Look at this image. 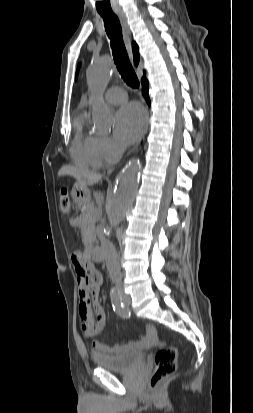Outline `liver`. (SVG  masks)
Instances as JSON below:
<instances>
[{
    "label": "liver",
    "instance_id": "liver-1",
    "mask_svg": "<svg viewBox=\"0 0 253 413\" xmlns=\"http://www.w3.org/2000/svg\"><path fill=\"white\" fill-rule=\"evenodd\" d=\"M59 176H71L77 180V182L82 186H92L97 183L101 178V174L89 172L73 166H63L59 172Z\"/></svg>",
    "mask_w": 253,
    "mask_h": 413
}]
</instances>
